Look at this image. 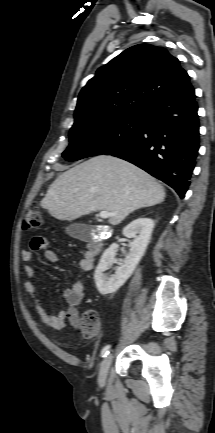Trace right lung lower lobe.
I'll return each mask as SVG.
<instances>
[{"label": "right lung lower lobe", "instance_id": "right-lung-lower-lobe-1", "mask_svg": "<svg viewBox=\"0 0 215 433\" xmlns=\"http://www.w3.org/2000/svg\"><path fill=\"white\" fill-rule=\"evenodd\" d=\"M195 91L189 83L152 105L130 143L106 153L129 161L184 198L199 149Z\"/></svg>", "mask_w": 215, "mask_h": 433}]
</instances>
